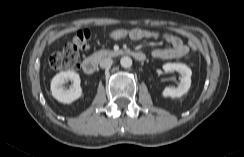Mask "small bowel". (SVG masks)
I'll return each instance as SVG.
<instances>
[{
	"mask_svg": "<svg viewBox=\"0 0 244 157\" xmlns=\"http://www.w3.org/2000/svg\"><path fill=\"white\" fill-rule=\"evenodd\" d=\"M160 37L167 41L169 46L153 49L151 52L152 58L157 60H170L183 57L188 53L189 49L182 39L172 34H160L156 31L134 28L131 29L129 36L131 40L158 39Z\"/></svg>",
	"mask_w": 244,
	"mask_h": 157,
	"instance_id": "c3829d8e",
	"label": "small bowel"
}]
</instances>
